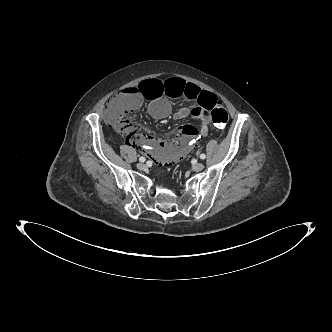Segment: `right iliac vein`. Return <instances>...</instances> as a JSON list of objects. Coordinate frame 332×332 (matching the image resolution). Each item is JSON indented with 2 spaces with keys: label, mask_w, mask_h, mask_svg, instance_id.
Returning a JSON list of instances; mask_svg holds the SVG:
<instances>
[{
  "label": "right iliac vein",
  "mask_w": 332,
  "mask_h": 332,
  "mask_svg": "<svg viewBox=\"0 0 332 332\" xmlns=\"http://www.w3.org/2000/svg\"><path fill=\"white\" fill-rule=\"evenodd\" d=\"M137 168L139 170H144L146 168V165L144 163L140 162V163L137 164Z\"/></svg>",
  "instance_id": "1"
}]
</instances>
